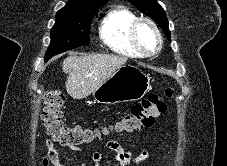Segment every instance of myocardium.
Here are the masks:
<instances>
[{
    "mask_svg": "<svg viewBox=\"0 0 227 166\" xmlns=\"http://www.w3.org/2000/svg\"><path fill=\"white\" fill-rule=\"evenodd\" d=\"M142 24H147L152 31L154 32V34L156 35L157 38V45L155 47V49L151 50V51H147L145 50L137 37V31L140 25ZM129 39L130 42L132 44V46L137 50V52L141 55V56H152L157 54L163 45V38H162V34L158 28V26L156 25V23L151 20L150 18H146V17H139L136 20H134L129 28Z\"/></svg>",
    "mask_w": 227,
    "mask_h": 166,
    "instance_id": "obj_1",
    "label": "myocardium"
}]
</instances>
